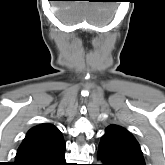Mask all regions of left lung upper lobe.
Listing matches in <instances>:
<instances>
[{"label":"left lung upper lobe","instance_id":"obj_1","mask_svg":"<svg viewBox=\"0 0 165 165\" xmlns=\"http://www.w3.org/2000/svg\"><path fill=\"white\" fill-rule=\"evenodd\" d=\"M98 153L109 165H145L138 142L118 125L106 128Z\"/></svg>","mask_w":165,"mask_h":165}]
</instances>
